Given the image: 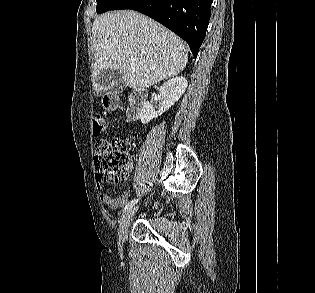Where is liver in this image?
Returning a JSON list of instances; mask_svg holds the SVG:
<instances>
[{"mask_svg":"<svg viewBox=\"0 0 315 293\" xmlns=\"http://www.w3.org/2000/svg\"><path fill=\"white\" fill-rule=\"evenodd\" d=\"M92 38L93 87L100 94L114 85L98 84L102 70L121 71L125 85L140 90L178 75L188 61L186 45L177 35L135 11H115L97 17ZM130 58L135 61L133 66Z\"/></svg>","mask_w":315,"mask_h":293,"instance_id":"liver-1","label":"liver"}]
</instances>
